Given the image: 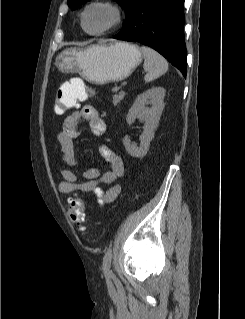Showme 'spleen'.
Returning <instances> with one entry per match:
<instances>
[{
	"instance_id": "spleen-1",
	"label": "spleen",
	"mask_w": 245,
	"mask_h": 319,
	"mask_svg": "<svg viewBox=\"0 0 245 319\" xmlns=\"http://www.w3.org/2000/svg\"><path fill=\"white\" fill-rule=\"evenodd\" d=\"M141 51L144 55L143 68L147 72L144 81L146 83L157 79L168 71L166 59L150 47L142 46Z\"/></svg>"
}]
</instances>
